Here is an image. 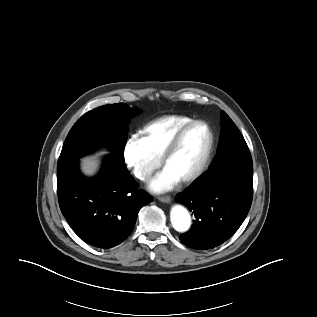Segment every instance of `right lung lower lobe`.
<instances>
[{
  "mask_svg": "<svg viewBox=\"0 0 317 317\" xmlns=\"http://www.w3.org/2000/svg\"><path fill=\"white\" fill-rule=\"evenodd\" d=\"M57 184L60 209L69 225L83 241L101 249L122 243L139 210L153 201L113 154L104 158L96 177L83 176L75 162L58 172Z\"/></svg>",
  "mask_w": 317,
  "mask_h": 317,
  "instance_id": "1",
  "label": "right lung lower lobe"
}]
</instances>
